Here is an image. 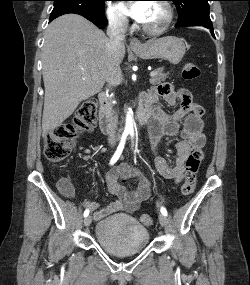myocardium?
Returning <instances> with one entry per match:
<instances>
[{
    "mask_svg": "<svg viewBox=\"0 0 250 285\" xmlns=\"http://www.w3.org/2000/svg\"><path fill=\"white\" fill-rule=\"evenodd\" d=\"M157 4H159L165 11V19L163 23L160 26L154 28L145 26L144 24L142 25L143 32L151 36H158L163 34L170 27L174 19V11L169 2L161 0L157 2Z\"/></svg>",
    "mask_w": 250,
    "mask_h": 285,
    "instance_id": "1",
    "label": "myocardium"
}]
</instances>
